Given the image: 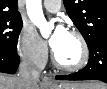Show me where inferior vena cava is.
<instances>
[{"label":"inferior vena cava","mask_w":107,"mask_h":89,"mask_svg":"<svg viewBox=\"0 0 107 89\" xmlns=\"http://www.w3.org/2000/svg\"><path fill=\"white\" fill-rule=\"evenodd\" d=\"M17 76L23 86L21 89H28L32 83L39 81V71L27 60L20 63Z\"/></svg>","instance_id":"1"}]
</instances>
